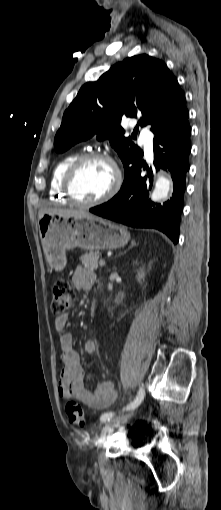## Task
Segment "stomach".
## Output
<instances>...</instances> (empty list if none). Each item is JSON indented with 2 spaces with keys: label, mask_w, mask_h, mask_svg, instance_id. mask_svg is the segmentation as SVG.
Listing matches in <instances>:
<instances>
[{
  "label": "stomach",
  "mask_w": 221,
  "mask_h": 510,
  "mask_svg": "<svg viewBox=\"0 0 221 510\" xmlns=\"http://www.w3.org/2000/svg\"><path fill=\"white\" fill-rule=\"evenodd\" d=\"M39 233L49 266L65 267L66 251L79 247L84 250L116 249L130 239L121 225L96 217H71L44 214L39 218Z\"/></svg>",
  "instance_id": "1"
}]
</instances>
